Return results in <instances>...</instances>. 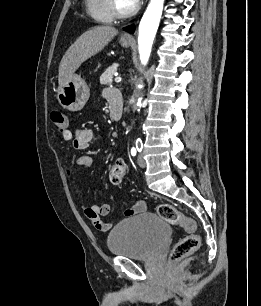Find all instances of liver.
Instances as JSON below:
<instances>
[{"instance_id": "6515ba94", "label": "liver", "mask_w": 261, "mask_h": 306, "mask_svg": "<svg viewBox=\"0 0 261 306\" xmlns=\"http://www.w3.org/2000/svg\"><path fill=\"white\" fill-rule=\"evenodd\" d=\"M118 34L115 27L96 26L83 33L66 51L59 65V86L68 82L80 65L99 53Z\"/></svg>"}]
</instances>
